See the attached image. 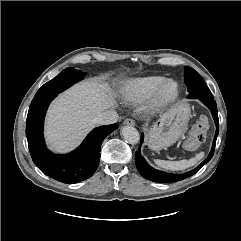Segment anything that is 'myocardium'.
Returning a JSON list of instances; mask_svg holds the SVG:
<instances>
[{
	"label": "myocardium",
	"mask_w": 241,
	"mask_h": 241,
	"mask_svg": "<svg viewBox=\"0 0 241 241\" xmlns=\"http://www.w3.org/2000/svg\"><path fill=\"white\" fill-rule=\"evenodd\" d=\"M170 87L169 93H165L166 89ZM179 95V86L177 82L172 79L163 80L154 90L147 102V110L150 113H157L172 104Z\"/></svg>",
	"instance_id": "1"
}]
</instances>
